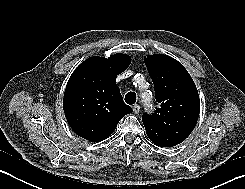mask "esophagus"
Listing matches in <instances>:
<instances>
[{
    "label": "esophagus",
    "instance_id": "34e87169",
    "mask_svg": "<svg viewBox=\"0 0 245 189\" xmlns=\"http://www.w3.org/2000/svg\"><path fill=\"white\" fill-rule=\"evenodd\" d=\"M132 108H133V112H134L135 114H138V113H139V111H140V106H139L138 104H135Z\"/></svg>",
    "mask_w": 245,
    "mask_h": 189
}]
</instances>
